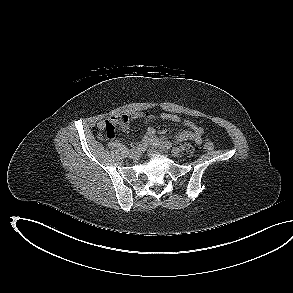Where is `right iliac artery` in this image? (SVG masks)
Returning <instances> with one entry per match:
<instances>
[{"instance_id":"obj_1","label":"right iliac artery","mask_w":293,"mask_h":293,"mask_svg":"<svg viewBox=\"0 0 293 293\" xmlns=\"http://www.w3.org/2000/svg\"><path fill=\"white\" fill-rule=\"evenodd\" d=\"M146 147V145L145 144H139V145H137L136 147H133L132 149H138V150H140V149H144ZM131 149V150H132Z\"/></svg>"}]
</instances>
